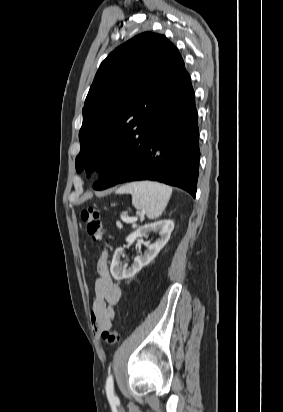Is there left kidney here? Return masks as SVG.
I'll return each instance as SVG.
<instances>
[{"label":"left kidney","instance_id":"5707ae66","mask_svg":"<svg viewBox=\"0 0 283 412\" xmlns=\"http://www.w3.org/2000/svg\"><path fill=\"white\" fill-rule=\"evenodd\" d=\"M174 229V222L172 220H162L151 224H146L139 227L135 232L128 235L126 242L133 243L137 238L147 235L151 231L159 232L160 238L148 246V250L141 256L134 259V263L129 267L121 266L122 248L116 249L110 271L115 280H122L133 277L144 266L148 265L158 255L160 250L166 245L170 239L171 232Z\"/></svg>","mask_w":283,"mask_h":412}]
</instances>
